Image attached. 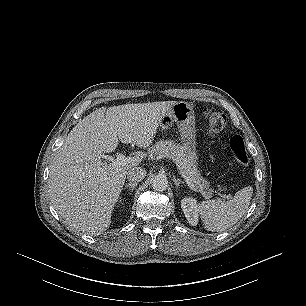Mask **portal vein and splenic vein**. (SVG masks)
<instances>
[{"instance_id": "1", "label": "portal vein and splenic vein", "mask_w": 306, "mask_h": 306, "mask_svg": "<svg viewBox=\"0 0 306 306\" xmlns=\"http://www.w3.org/2000/svg\"><path fill=\"white\" fill-rule=\"evenodd\" d=\"M103 158H105L106 160L111 161L110 166L113 167H121V166H125L128 163L131 162H136L138 160L137 157L133 156V157H126L124 154L120 153L117 155L116 159H113L110 156H103ZM180 174L181 176L184 178L185 182L188 184V186L195 192H198L199 190L195 187V185L191 182V180L181 171V169L179 168ZM220 196L222 198L225 199H229L230 196H225V195H221Z\"/></svg>"}]
</instances>
